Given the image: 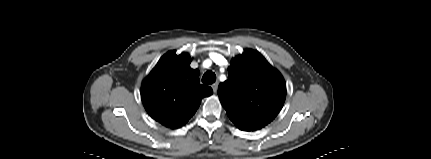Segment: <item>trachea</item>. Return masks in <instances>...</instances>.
Returning <instances> with one entry per match:
<instances>
[{"label": "trachea", "instance_id": "obj_1", "mask_svg": "<svg viewBox=\"0 0 431 159\" xmlns=\"http://www.w3.org/2000/svg\"><path fill=\"white\" fill-rule=\"evenodd\" d=\"M216 81V75L214 72H212L211 70H208L207 72H205V74L202 77V82L204 84H212Z\"/></svg>", "mask_w": 431, "mask_h": 159}]
</instances>
